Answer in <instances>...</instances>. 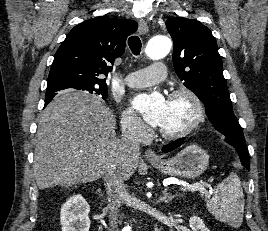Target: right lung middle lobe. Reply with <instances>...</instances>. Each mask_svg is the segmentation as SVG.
Listing matches in <instances>:
<instances>
[{
  "label": "right lung middle lobe",
  "instance_id": "1",
  "mask_svg": "<svg viewBox=\"0 0 268 231\" xmlns=\"http://www.w3.org/2000/svg\"><path fill=\"white\" fill-rule=\"evenodd\" d=\"M59 90H63L62 88H59V89H56V88H51V89H47L46 91V95L48 93H51V92H56V91H59ZM78 90H84V91H88L90 93H93V94H98V95H102V98L105 100L108 96V93H107V87H88V88H84V89H78Z\"/></svg>",
  "mask_w": 268,
  "mask_h": 231
}]
</instances>
